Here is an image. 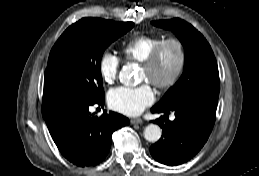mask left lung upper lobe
<instances>
[{
	"label": "left lung upper lobe",
	"instance_id": "1",
	"mask_svg": "<svg viewBox=\"0 0 259 176\" xmlns=\"http://www.w3.org/2000/svg\"><path fill=\"white\" fill-rule=\"evenodd\" d=\"M151 23L171 30L185 48L183 74L156 106L172 109L188 102H200L217 107L219 72L207 40L191 24L179 18Z\"/></svg>",
	"mask_w": 259,
	"mask_h": 176
}]
</instances>
